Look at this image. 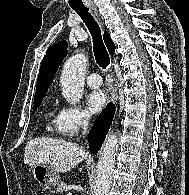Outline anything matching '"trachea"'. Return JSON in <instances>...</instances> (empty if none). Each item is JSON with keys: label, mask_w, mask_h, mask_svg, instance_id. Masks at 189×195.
Returning a JSON list of instances; mask_svg holds the SVG:
<instances>
[{"label": "trachea", "mask_w": 189, "mask_h": 195, "mask_svg": "<svg viewBox=\"0 0 189 195\" xmlns=\"http://www.w3.org/2000/svg\"><path fill=\"white\" fill-rule=\"evenodd\" d=\"M77 14L82 18L83 22L87 26L92 39H93V51L95 55V60L97 64L106 69L110 65V57L107 49L103 43L100 27L94 20L93 16L89 13V9L83 8H73Z\"/></svg>", "instance_id": "obj_1"}]
</instances>
